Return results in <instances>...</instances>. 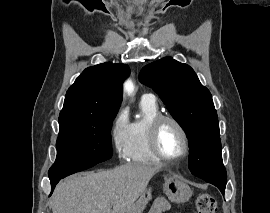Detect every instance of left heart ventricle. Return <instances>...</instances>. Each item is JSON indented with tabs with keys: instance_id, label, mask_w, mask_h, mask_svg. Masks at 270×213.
<instances>
[{
	"instance_id": "obj_1",
	"label": "left heart ventricle",
	"mask_w": 270,
	"mask_h": 213,
	"mask_svg": "<svg viewBox=\"0 0 270 213\" xmlns=\"http://www.w3.org/2000/svg\"><path fill=\"white\" fill-rule=\"evenodd\" d=\"M159 147L168 157H179L184 151V139L178 128L171 122H166L159 133Z\"/></svg>"
}]
</instances>
